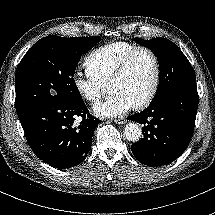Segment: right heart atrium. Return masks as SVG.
<instances>
[{"mask_svg": "<svg viewBox=\"0 0 215 215\" xmlns=\"http://www.w3.org/2000/svg\"><path fill=\"white\" fill-rule=\"evenodd\" d=\"M72 82L80 97L90 104L98 102L103 95L102 82L88 73L75 71Z\"/></svg>", "mask_w": 215, "mask_h": 215, "instance_id": "right-heart-atrium-1", "label": "right heart atrium"}]
</instances>
